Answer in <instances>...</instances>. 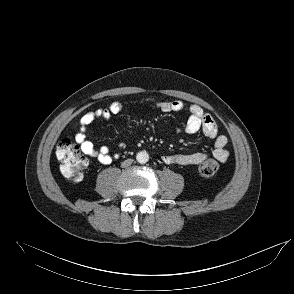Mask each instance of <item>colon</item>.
Instances as JSON below:
<instances>
[{"mask_svg": "<svg viewBox=\"0 0 294 294\" xmlns=\"http://www.w3.org/2000/svg\"><path fill=\"white\" fill-rule=\"evenodd\" d=\"M56 157L60 162L61 173L68 179L78 182L83 177L87 166V160L81 153L79 147L70 139H62L56 147ZM219 169L216 159L206 157L198 167L203 177L214 176Z\"/></svg>", "mask_w": 294, "mask_h": 294, "instance_id": "obj_1", "label": "colon"}]
</instances>
